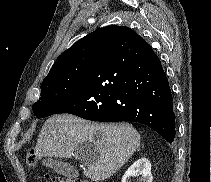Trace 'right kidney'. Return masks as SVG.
Segmentation results:
<instances>
[{"mask_svg":"<svg viewBox=\"0 0 211 182\" xmlns=\"http://www.w3.org/2000/svg\"><path fill=\"white\" fill-rule=\"evenodd\" d=\"M134 175H141L142 182H152L151 163L147 158L135 161L123 175L122 182H128L130 177Z\"/></svg>","mask_w":211,"mask_h":182,"instance_id":"right-kidney-1","label":"right kidney"}]
</instances>
